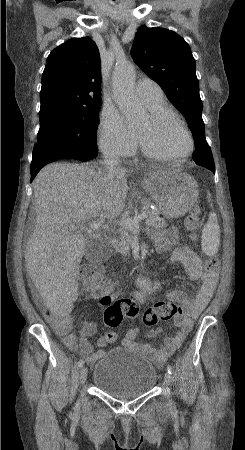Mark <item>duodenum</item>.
I'll return each instance as SVG.
<instances>
[{
  "label": "duodenum",
  "instance_id": "410a0bca",
  "mask_svg": "<svg viewBox=\"0 0 245 450\" xmlns=\"http://www.w3.org/2000/svg\"><path fill=\"white\" fill-rule=\"evenodd\" d=\"M116 243H117L116 239H114V238H110V239H109V244H110L111 246H115Z\"/></svg>",
  "mask_w": 245,
  "mask_h": 450
}]
</instances>
